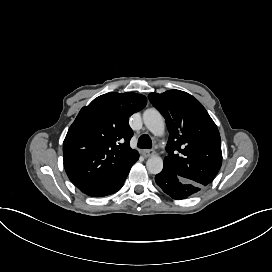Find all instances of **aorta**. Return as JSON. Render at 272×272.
<instances>
[{"instance_id": "762f6f07", "label": "aorta", "mask_w": 272, "mask_h": 272, "mask_svg": "<svg viewBox=\"0 0 272 272\" xmlns=\"http://www.w3.org/2000/svg\"><path fill=\"white\" fill-rule=\"evenodd\" d=\"M143 120L146 128L151 134L157 137L165 135V119L163 116L154 108L148 109L143 114ZM164 165L163 158L159 155H152L146 161V167L152 174H158L162 171Z\"/></svg>"}]
</instances>
